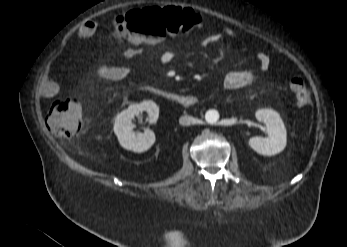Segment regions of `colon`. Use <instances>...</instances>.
Returning <instances> with one entry per match:
<instances>
[{
  "instance_id": "5ec220e1",
  "label": "colon",
  "mask_w": 347,
  "mask_h": 247,
  "mask_svg": "<svg viewBox=\"0 0 347 247\" xmlns=\"http://www.w3.org/2000/svg\"><path fill=\"white\" fill-rule=\"evenodd\" d=\"M200 14L174 6L148 7L117 16L114 28L119 40L130 38L136 42L158 43L170 34L188 32L201 22ZM295 102L299 106L310 101V91L303 79L296 77L290 83ZM50 131L60 138L79 136L86 125L80 104L71 97L56 99L47 114Z\"/></svg>"
}]
</instances>
